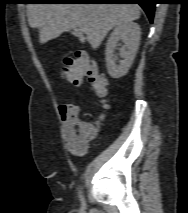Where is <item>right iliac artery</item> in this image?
I'll return each mask as SVG.
<instances>
[{"instance_id":"1","label":"right iliac artery","mask_w":188,"mask_h":213,"mask_svg":"<svg viewBox=\"0 0 188 213\" xmlns=\"http://www.w3.org/2000/svg\"><path fill=\"white\" fill-rule=\"evenodd\" d=\"M79 196H80V198L82 199L81 191L79 192Z\"/></svg>"}]
</instances>
